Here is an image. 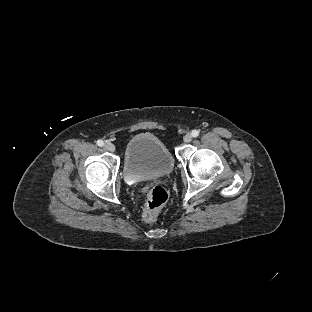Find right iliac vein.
<instances>
[{
	"mask_svg": "<svg viewBox=\"0 0 312 312\" xmlns=\"http://www.w3.org/2000/svg\"><path fill=\"white\" fill-rule=\"evenodd\" d=\"M104 148L107 150V151H110V152H114L115 151V146L111 143V142H106L104 144Z\"/></svg>",
	"mask_w": 312,
	"mask_h": 312,
	"instance_id": "63e3f726",
	"label": "right iliac vein"
}]
</instances>
